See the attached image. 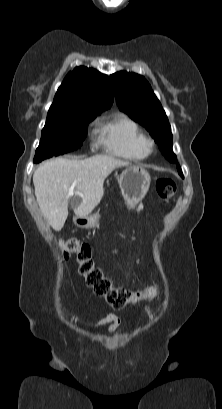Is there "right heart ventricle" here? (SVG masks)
Returning a JSON list of instances; mask_svg holds the SVG:
<instances>
[{"label": "right heart ventricle", "mask_w": 222, "mask_h": 409, "mask_svg": "<svg viewBox=\"0 0 222 409\" xmlns=\"http://www.w3.org/2000/svg\"><path fill=\"white\" fill-rule=\"evenodd\" d=\"M99 134L100 143L112 155L133 161L147 156L145 134L140 125L126 114L118 113L105 120Z\"/></svg>", "instance_id": "right-heart-ventricle-1"}]
</instances>
